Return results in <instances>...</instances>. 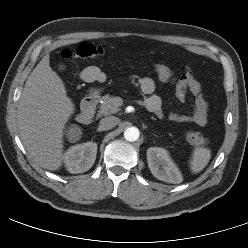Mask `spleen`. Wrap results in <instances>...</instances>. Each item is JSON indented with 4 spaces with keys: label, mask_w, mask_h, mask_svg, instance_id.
<instances>
[{
    "label": "spleen",
    "mask_w": 248,
    "mask_h": 248,
    "mask_svg": "<svg viewBox=\"0 0 248 248\" xmlns=\"http://www.w3.org/2000/svg\"><path fill=\"white\" fill-rule=\"evenodd\" d=\"M211 158V150L208 148H195L190 160V169L193 173L201 172Z\"/></svg>",
    "instance_id": "obj_1"
}]
</instances>
